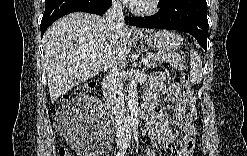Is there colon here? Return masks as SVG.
I'll use <instances>...</instances> for the list:
<instances>
[{
  "label": "colon",
  "mask_w": 247,
  "mask_h": 156,
  "mask_svg": "<svg viewBox=\"0 0 247 156\" xmlns=\"http://www.w3.org/2000/svg\"><path fill=\"white\" fill-rule=\"evenodd\" d=\"M95 85H96L95 81H89L83 84L82 86L78 87L72 95H64L61 100L60 112L57 115L58 119L61 120L62 122L68 121L67 114H68V108L70 102L88 93L90 90H92L95 87ZM180 85L186 94V101H187L189 113H195L196 95H195V91L191 86L187 74L185 73L180 74ZM58 155L70 156L71 154L66 146L60 145L58 148Z\"/></svg>",
  "instance_id": "obj_1"
}]
</instances>
